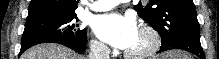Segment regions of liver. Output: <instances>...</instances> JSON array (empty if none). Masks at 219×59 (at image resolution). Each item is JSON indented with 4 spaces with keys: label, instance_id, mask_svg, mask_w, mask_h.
Masks as SVG:
<instances>
[{
    "label": "liver",
    "instance_id": "6515ba94",
    "mask_svg": "<svg viewBox=\"0 0 219 59\" xmlns=\"http://www.w3.org/2000/svg\"><path fill=\"white\" fill-rule=\"evenodd\" d=\"M20 59H86L73 50L58 44H40L25 51Z\"/></svg>",
    "mask_w": 219,
    "mask_h": 59
}]
</instances>
